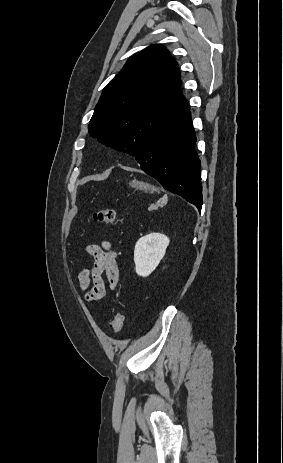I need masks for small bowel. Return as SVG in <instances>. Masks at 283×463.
Returning <instances> with one entry per match:
<instances>
[{"instance_id": "small-bowel-1", "label": "small bowel", "mask_w": 283, "mask_h": 463, "mask_svg": "<svg viewBox=\"0 0 283 463\" xmlns=\"http://www.w3.org/2000/svg\"><path fill=\"white\" fill-rule=\"evenodd\" d=\"M86 251L94 262L91 269L84 268L79 273V287L86 293L87 300L99 301L107 290L113 291L118 285L117 255L108 241H102L100 245H89Z\"/></svg>"}]
</instances>
